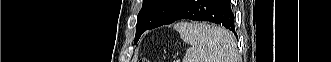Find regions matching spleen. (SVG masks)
<instances>
[{
	"label": "spleen",
	"instance_id": "spleen-1",
	"mask_svg": "<svg viewBox=\"0 0 331 62\" xmlns=\"http://www.w3.org/2000/svg\"><path fill=\"white\" fill-rule=\"evenodd\" d=\"M174 28L191 45L183 62H237L236 41L229 30L197 22H180Z\"/></svg>",
	"mask_w": 331,
	"mask_h": 62
}]
</instances>
